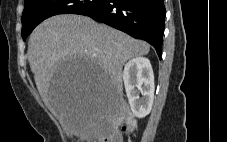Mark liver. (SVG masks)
I'll use <instances>...</instances> for the list:
<instances>
[{
  "label": "liver",
  "instance_id": "obj_1",
  "mask_svg": "<svg viewBox=\"0 0 227 142\" xmlns=\"http://www.w3.org/2000/svg\"><path fill=\"white\" fill-rule=\"evenodd\" d=\"M149 50L145 41L89 17L63 14L46 19L32 32L29 64L48 109L69 132L86 135L111 107L102 106L100 97L122 99L125 62L147 55ZM60 61H93L101 78H92L95 88H60V81H52Z\"/></svg>",
  "mask_w": 227,
  "mask_h": 142
}]
</instances>
